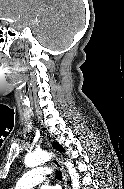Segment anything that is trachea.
<instances>
[{
  "label": "trachea",
  "mask_w": 124,
  "mask_h": 189,
  "mask_svg": "<svg viewBox=\"0 0 124 189\" xmlns=\"http://www.w3.org/2000/svg\"><path fill=\"white\" fill-rule=\"evenodd\" d=\"M56 178L62 180V174L60 171H56Z\"/></svg>",
  "instance_id": "3493384b"
}]
</instances>
